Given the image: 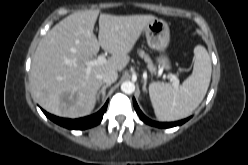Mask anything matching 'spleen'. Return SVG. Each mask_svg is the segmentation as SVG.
Masks as SVG:
<instances>
[{
	"label": "spleen",
	"mask_w": 248,
	"mask_h": 165,
	"mask_svg": "<svg viewBox=\"0 0 248 165\" xmlns=\"http://www.w3.org/2000/svg\"><path fill=\"white\" fill-rule=\"evenodd\" d=\"M211 72V59L207 50L197 45L194 48L193 72L180 87H172L164 82L149 85V96L156 117L161 121H174L191 115L206 95Z\"/></svg>",
	"instance_id": "3e777b00"
}]
</instances>
